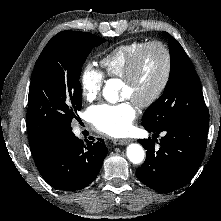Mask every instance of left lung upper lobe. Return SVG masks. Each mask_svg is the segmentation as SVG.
<instances>
[{
  "label": "left lung upper lobe",
  "instance_id": "5c2ea615",
  "mask_svg": "<svg viewBox=\"0 0 221 221\" xmlns=\"http://www.w3.org/2000/svg\"><path fill=\"white\" fill-rule=\"evenodd\" d=\"M168 38L171 68L163 94L145 111L142 125L148 131H160L181 119L203 118L208 115L201 84L194 67L179 42Z\"/></svg>",
  "mask_w": 221,
  "mask_h": 221
}]
</instances>
